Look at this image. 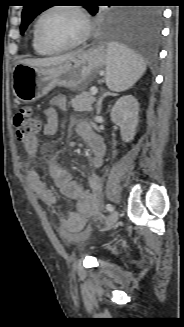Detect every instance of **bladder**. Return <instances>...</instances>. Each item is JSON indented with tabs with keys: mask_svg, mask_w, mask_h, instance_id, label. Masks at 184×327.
<instances>
[{
	"mask_svg": "<svg viewBox=\"0 0 184 327\" xmlns=\"http://www.w3.org/2000/svg\"><path fill=\"white\" fill-rule=\"evenodd\" d=\"M91 240V234L90 233H87V232H84V233H80L78 234L75 239L72 241V244L73 245H87L89 244Z\"/></svg>",
	"mask_w": 184,
	"mask_h": 327,
	"instance_id": "bladder-1",
	"label": "bladder"
}]
</instances>
